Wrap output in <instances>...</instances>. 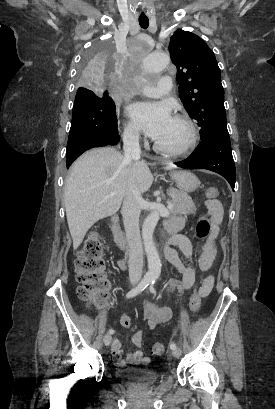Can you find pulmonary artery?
I'll use <instances>...</instances> for the list:
<instances>
[{
    "instance_id": "1",
    "label": "pulmonary artery",
    "mask_w": 275,
    "mask_h": 409,
    "mask_svg": "<svg viewBox=\"0 0 275 409\" xmlns=\"http://www.w3.org/2000/svg\"><path fill=\"white\" fill-rule=\"evenodd\" d=\"M171 77L169 75H164L163 79H160L158 82L159 87L161 88L162 94H174L175 86L171 85ZM159 87L157 85L146 86L143 90V95L150 97H158L160 95Z\"/></svg>"
}]
</instances>
